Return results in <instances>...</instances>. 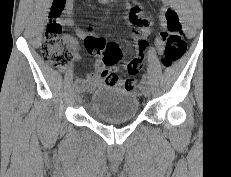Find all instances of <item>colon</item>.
<instances>
[{
  "mask_svg": "<svg viewBox=\"0 0 231 177\" xmlns=\"http://www.w3.org/2000/svg\"><path fill=\"white\" fill-rule=\"evenodd\" d=\"M61 9L57 1L53 2L51 8V21L48 23L43 45L42 55L46 62L54 68H64L72 59V53L67 48L65 40L61 35L62 27L58 22ZM165 30L161 33L160 38L164 42V53L162 65L167 68L179 60L186 51V42L182 33V25L178 14L173 9H166ZM133 38L138 43V48L143 50L146 46V38L136 29L133 32ZM85 46L89 53L102 56L103 64L113 66L122 62L123 52L121 47L114 42H106L102 37L87 35L85 37ZM142 67V56L134 58L124 64L127 75L119 76L118 74L104 70L103 74L113 84H122L126 89L136 90L139 85L132 78Z\"/></svg>",
  "mask_w": 231,
  "mask_h": 177,
  "instance_id": "5ec220e1",
  "label": "colon"
}]
</instances>
